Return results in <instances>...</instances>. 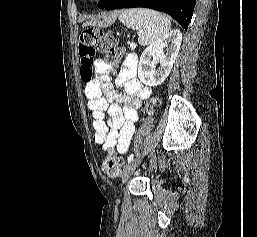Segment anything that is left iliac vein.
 <instances>
[{"label": "left iliac vein", "mask_w": 257, "mask_h": 237, "mask_svg": "<svg viewBox=\"0 0 257 237\" xmlns=\"http://www.w3.org/2000/svg\"><path fill=\"white\" fill-rule=\"evenodd\" d=\"M141 158L136 157L135 159L131 160L125 167L122 173V182L125 183L129 177L132 175V173L135 171L136 167L140 163Z\"/></svg>", "instance_id": "4c4485c4"}]
</instances>
